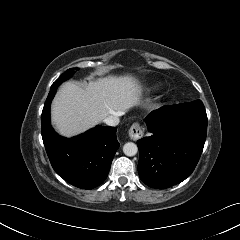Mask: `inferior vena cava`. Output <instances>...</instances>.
Wrapping results in <instances>:
<instances>
[{"label": "inferior vena cava", "instance_id": "obj_1", "mask_svg": "<svg viewBox=\"0 0 240 240\" xmlns=\"http://www.w3.org/2000/svg\"><path fill=\"white\" fill-rule=\"evenodd\" d=\"M104 123H106L108 126H116L119 124V118L118 115H110L107 118L104 119Z\"/></svg>", "mask_w": 240, "mask_h": 240}]
</instances>
